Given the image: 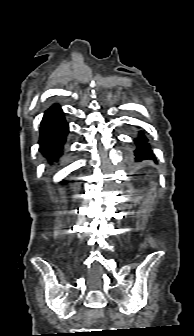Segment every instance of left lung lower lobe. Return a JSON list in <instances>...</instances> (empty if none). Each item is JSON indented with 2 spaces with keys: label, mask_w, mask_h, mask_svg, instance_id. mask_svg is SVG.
<instances>
[{
  "label": "left lung lower lobe",
  "mask_w": 194,
  "mask_h": 336,
  "mask_svg": "<svg viewBox=\"0 0 194 336\" xmlns=\"http://www.w3.org/2000/svg\"><path fill=\"white\" fill-rule=\"evenodd\" d=\"M137 148L134 151L135 161H142L144 159H150L153 156V152L150 145L147 143L145 136L140 133V136L135 140Z\"/></svg>",
  "instance_id": "0a47b994"
}]
</instances>
